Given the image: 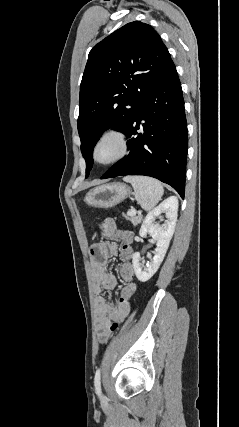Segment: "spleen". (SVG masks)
Wrapping results in <instances>:
<instances>
[{"mask_svg": "<svg viewBox=\"0 0 239 427\" xmlns=\"http://www.w3.org/2000/svg\"><path fill=\"white\" fill-rule=\"evenodd\" d=\"M124 181L132 184L135 199L146 211L153 209L161 200L164 193L163 186L154 178L147 176H126Z\"/></svg>", "mask_w": 239, "mask_h": 427, "instance_id": "3e777b00", "label": "spleen"}]
</instances>
